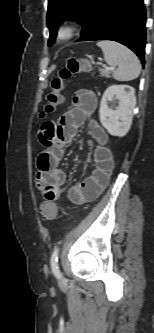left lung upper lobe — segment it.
I'll return each mask as SVG.
<instances>
[{
    "label": "left lung upper lobe",
    "mask_w": 154,
    "mask_h": 333,
    "mask_svg": "<svg viewBox=\"0 0 154 333\" xmlns=\"http://www.w3.org/2000/svg\"><path fill=\"white\" fill-rule=\"evenodd\" d=\"M97 0H48L47 27L50 30L51 44L56 37L58 25L72 19L82 23ZM50 44V45H51Z\"/></svg>",
    "instance_id": "5c2ea615"
}]
</instances>
